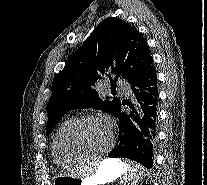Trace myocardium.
<instances>
[{"label": "myocardium", "instance_id": "obj_1", "mask_svg": "<svg viewBox=\"0 0 207 185\" xmlns=\"http://www.w3.org/2000/svg\"><path fill=\"white\" fill-rule=\"evenodd\" d=\"M89 120L104 121L109 126V129L111 132V141H114L116 138V130H115L114 126L111 123L102 119L101 117L96 116V115H91V114L78 117L70 123V125L68 126V128L65 132V136H64V145H65L67 151L74 157L97 158V157H103L106 154V149L99 151V152H89V151L82 150V149L78 148L77 146H75V144L73 142V135H74L76 128L81 123H83L85 121H89Z\"/></svg>", "mask_w": 207, "mask_h": 185}]
</instances>
